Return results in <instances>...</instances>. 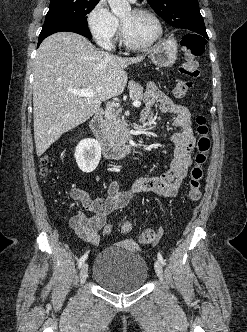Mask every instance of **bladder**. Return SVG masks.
<instances>
[{"label":"bladder","instance_id":"obj_1","mask_svg":"<svg viewBox=\"0 0 247 332\" xmlns=\"http://www.w3.org/2000/svg\"><path fill=\"white\" fill-rule=\"evenodd\" d=\"M148 277L143 257L131 244L109 246L97 255L93 266V279L112 293H130L141 289Z\"/></svg>","mask_w":247,"mask_h":332}]
</instances>
